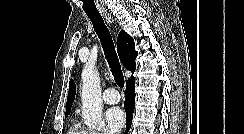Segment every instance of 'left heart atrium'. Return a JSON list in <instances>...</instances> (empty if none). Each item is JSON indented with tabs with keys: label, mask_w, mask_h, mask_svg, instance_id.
Wrapping results in <instances>:
<instances>
[{
	"label": "left heart atrium",
	"mask_w": 244,
	"mask_h": 134,
	"mask_svg": "<svg viewBox=\"0 0 244 134\" xmlns=\"http://www.w3.org/2000/svg\"><path fill=\"white\" fill-rule=\"evenodd\" d=\"M105 119L109 130L114 134L121 131L125 124V114L119 107H112L105 113Z\"/></svg>",
	"instance_id": "1"
}]
</instances>
